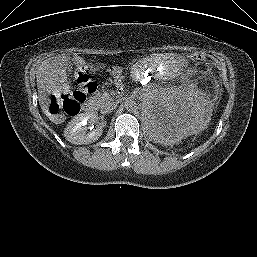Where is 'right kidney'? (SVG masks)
I'll return each instance as SVG.
<instances>
[{
	"label": "right kidney",
	"mask_w": 257,
	"mask_h": 257,
	"mask_svg": "<svg viewBox=\"0 0 257 257\" xmlns=\"http://www.w3.org/2000/svg\"><path fill=\"white\" fill-rule=\"evenodd\" d=\"M95 122L93 113H81L76 115L67 125L64 131V137L76 145L93 143L99 139L103 130L101 127L87 132V123Z\"/></svg>",
	"instance_id": "ca27d5eb"
}]
</instances>
